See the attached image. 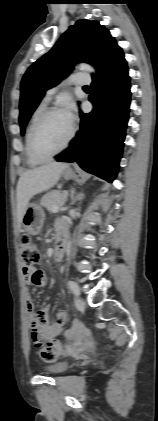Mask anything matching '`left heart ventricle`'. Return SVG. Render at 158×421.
<instances>
[{
  "label": "left heart ventricle",
  "mask_w": 158,
  "mask_h": 421,
  "mask_svg": "<svg viewBox=\"0 0 158 421\" xmlns=\"http://www.w3.org/2000/svg\"><path fill=\"white\" fill-rule=\"evenodd\" d=\"M71 125L63 113H55L47 118L40 128L36 145L43 154H50L60 148L67 139Z\"/></svg>",
  "instance_id": "obj_1"
}]
</instances>
